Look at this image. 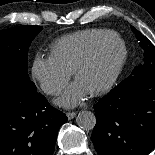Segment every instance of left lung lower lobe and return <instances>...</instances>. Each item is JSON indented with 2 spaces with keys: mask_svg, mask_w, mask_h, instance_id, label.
I'll return each mask as SVG.
<instances>
[{
  "mask_svg": "<svg viewBox=\"0 0 155 155\" xmlns=\"http://www.w3.org/2000/svg\"><path fill=\"white\" fill-rule=\"evenodd\" d=\"M100 155H148L155 147V69L126 78L95 106Z\"/></svg>",
  "mask_w": 155,
  "mask_h": 155,
  "instance_id": "obj_1",
  "label": "left lung lower lobe"
}]
</instances>
